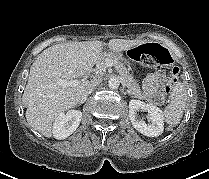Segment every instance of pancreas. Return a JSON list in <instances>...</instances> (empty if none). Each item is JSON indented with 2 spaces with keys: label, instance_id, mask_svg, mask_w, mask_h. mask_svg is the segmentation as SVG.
<instances>
[{
  "label": "pancreas",
  "instance_id": "1",
  "mask_svg": "<svg viewBox=\"0 0 209 179\" xmlns=\"http://www.w3.org/2000/svg\"><path fill=\"white\" fill-rule=\"evenodd\" d=\"M110 59L113 62V65L116 67L119 75L121 76L122 80L125 82V85L128 89V93H130L132 96L139 98V99H145V95L142 93L137 81L133 78V76L128 72L125 64L124 59L115 54V53H104L99 57V60L97 62V77L101 78L105 75L106 72V60Z\"/></svg>",
  "mask_w": 209,
  "mask_h": 179
}]
</instances>
